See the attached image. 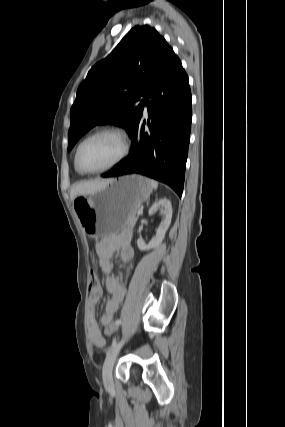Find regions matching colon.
Masks as SVG:
<instances>
[{"label":"colon","instance_id":"obj_1","mask_svg":"<svg viewBox=\"0 0 285 427\" xmlns=\"http://www.w3.org/2000/svg\"><path fill=\"white\" fill-rule=\"evenodd\" d=\"M100 285V278L98 276V274L96 273L95 270H91L90 272V280H89V287L90 289L96 288ZM107 333L109 335H113L116 332V326L114 325H110L107 329H106Z\"/></svg>","mask_w":285,"mask_h":427}]
</instances>
